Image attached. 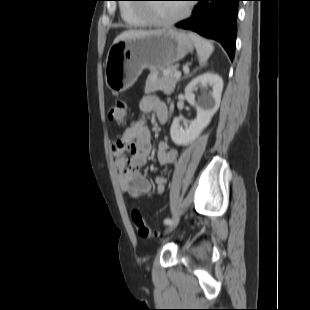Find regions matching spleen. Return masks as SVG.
I'll use <instances>...</instances> for the list:
<instances>
[{
    "mask_svg": "<svg viewBox=\"0 0 310 310\" xmlns=\"http://www.w3.org/2000/svg\"><path fill=\"white\" fill-rule=\"evenodd\" d=\"M197 50L200 64H205L214 50L212 43L194 33L189 34Z\"/></svg>",
    "mask_w": 310,
    "mask_h": 310,
    "instance_id": "1",
    "label": "spleen"
}]
</instances>
